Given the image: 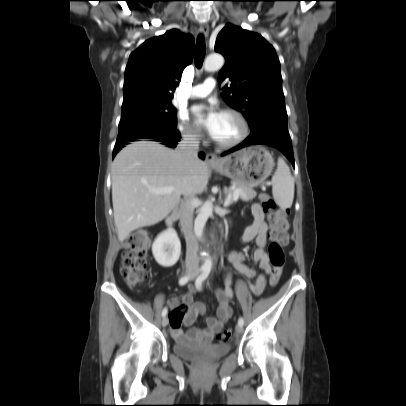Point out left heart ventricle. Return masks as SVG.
Returning <instances> with one entry per match:
<instances>
[{"label":"left heart ventricle","instance_id":"1","mask_svg":"<svg viewBox=\"0 0 406 406\" xmlns=\"http://www.w3.org/2000/svg\"><path fill=\"white\" fill-rule=\"evenodd\" d=\"M240 132V124L234 116L221 114L213 137L218 141L228 142L237 138Z\"/></svg>","mask_w":406,"mask_h":406}]
</instances>
